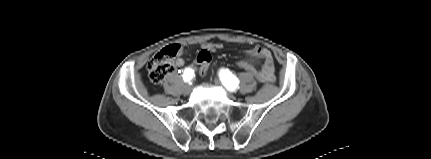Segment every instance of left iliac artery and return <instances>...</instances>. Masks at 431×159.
Here are the masks:
<instances>
[{"instance_id": "1", "label": "left iliac artery", "mask_w": 431, "mask_h": 159, "mask_svg": "<svg viewBox=\"0 0 431 159\" xmlns=\"http://www.w3.org/2000/svg\"><path fill=\"white\" fill-rule=\"evenodd\" d=\"M219 77L222 84L229 90L235 91L238 88L239 80L228 69H221Z\"/></svg>"}]
</instances>
